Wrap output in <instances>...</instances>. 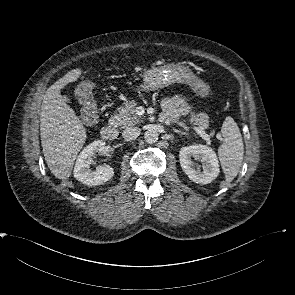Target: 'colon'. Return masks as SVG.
Here are the masks:
<instances>
[{
    "mask_svg": "<svg viewBox=\"0 0 295 295\" xmlns=\"http://www.w3.org/2000/svg\"><path fill=\"white\" fill-rule=\"evenodd\" d=\"M98 119L97 111L95 108V101L92 95L91 86L88 87L87 103L82 112V121L86 126H93L96 124Z\"/></svg>",
    "mask_w": 295,
    "mask_h": 295,
    "instance_id": "obj_1",
    "label": "colon"
}]
</instances>
